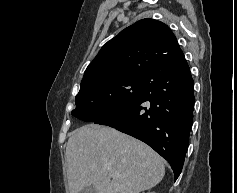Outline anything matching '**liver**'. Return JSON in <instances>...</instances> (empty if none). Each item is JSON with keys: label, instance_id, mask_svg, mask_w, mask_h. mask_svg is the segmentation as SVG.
Listing matches in <instances>:
<instances>
[{"label": "liver", "instance_id": "obj_1", "mask_svg": "<svg viewBox=\"0 0 237 193\" xmlns=\"http://www.w3.org/2000/svg\"><path fill=\"white\" fill-rule=\"evenodd\" d=\"M65 160L70 193L88 186L98 193H140L156 186L165 175L162 159L148 145L94 124L70 134Z\"/></svg>", "mask_w": 237, "mask_h": 193}]
</instances>
